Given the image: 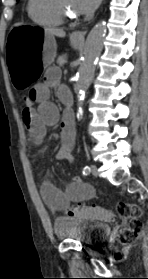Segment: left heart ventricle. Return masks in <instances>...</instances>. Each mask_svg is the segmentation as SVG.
I'll use <instances>...</instances> for the list:
<instances>
[{
    "instance_id": "left-heart-ventricle-1",
    "label": "left heart ventricle",
    "mask_w": 148,
    "mask_h": 279,
    "mask_svg": "<svg viewBox=\"0 0 148 279\" xmlns=\"http://www.w3.org/2000/svg\"><path fill=\"white\" fill-rule=\"evenodd\" d=\"M62 5L71 13L76 15V10L74 7V0H61Z\"/></svg>"
}]
</instances>
